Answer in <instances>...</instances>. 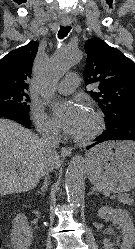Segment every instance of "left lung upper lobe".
Returning a JSON list of instances; mask_svg holds the SVG:
<instances>
[{"label":"left lung upper lobe","mask_w":135,"mask_h":249,"mask_svg":"<svg viewBox=\"0 0 135 249\" xmlns=\"http://www.w3.org/2000/svg\"><path fill=\"white\" fill-rule=\"evenodd\" d=\"M84 79L95 83L91 96L102 109L107 123L126 109H135V63L121 51L98 38L87 40Z\"/></svg>","instance_id":"left-lung-upper-lobe-1"}]
</instances>
